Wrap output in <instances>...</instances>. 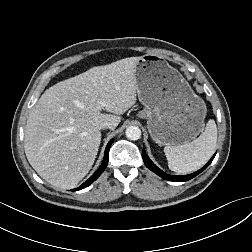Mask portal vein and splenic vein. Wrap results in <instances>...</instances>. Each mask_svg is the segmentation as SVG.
Returning <instances> with one entry per match:
<instances>
[{
	"instance_id": "1",
	"label": "portal vein and splenic vein",
	"mask_w": 252,
	"mask_h": 252,
	"mask_svg": "<svg viewBox=\"0 0 252 252\" xmlns=\"http://www.w3.org/2000/svg\"><path fill=\"white\" fill-rule=\"evenodd\" d=\"M102 105H103V103L100 102L99 106H98V109H100Z\"/></svg>"
}]
</instances>
